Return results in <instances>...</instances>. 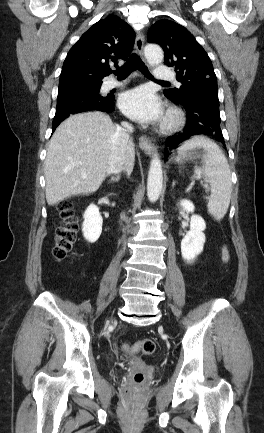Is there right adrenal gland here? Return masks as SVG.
Returning a JSON list of instances; mask_svg holds the SVG:
<instances>
[{
    "mask_svg": "<svg viewBox=\"0 0 264 433\" xmlns=\"http://www.w3.org/2000/svg\"><path fill=\"white\" fill-rule=\"evenodd\" d=\"M119 180H120V175L118 174L116 177H112L108 183L110 184V183L118 182Z\"/></svg>",
    "mask_w": 264,
    "mask_h": 433,
    "instance_id": "1",
    "label": "right adrenal gland"
}]
</instances>
